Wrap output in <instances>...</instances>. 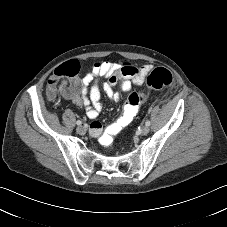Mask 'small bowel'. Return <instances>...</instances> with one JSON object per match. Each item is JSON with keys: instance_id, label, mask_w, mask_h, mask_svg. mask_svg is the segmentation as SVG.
Here are the masks:
<instances>
[{"instance_id": "c3829d8e", "label": "small bowel", "mask_w": 227, "mask_h": 227, "mask_svg": "<svg viewBox=\"0 0 227 227\" xmlns=\"http://www.w3.org/2000/svg\"><path fill=\"white\" fill-rule=\"evenodd\" d=\"M132 69L138 70L139 74L136 76L126 74V72ZM151 69V65L136 67L128 62H96L90 71L83 77L79 96H72L65 90H62V92L65 98L71 100L85 110L87 117L92 120L89 125V132L92 136H98L107 129L104 128L99 121L95 120L102 110L100 91L103 90L108 99L115 102L118 99L117 94L113 91V88L116 85H119L123 91H129L132 86L142 85ZM57 73L58 72H55L51 76V79H55ZM103 78H106V80L103 81Z\"/></svg>"}]
</instances>
